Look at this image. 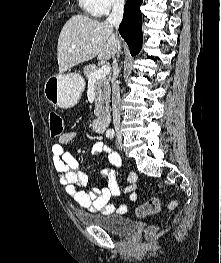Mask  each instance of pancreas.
Listing matches in <instances>:
<instances>
[{"instance_id": "cf45deb5", "label": "pancreas", "mask_w": 221, "mask_h": 263, "mask_svg": "<svg viewBox=\"0 0 221 263\" xmlns=\"http://www.w3.org/2000/svg\"><path fill=\"white\" fill-rule=\"evenodd\" d=\"M98 70L97 66L94 64L88 65L84 68V75L89 81V77L92 72ZM110 79L102 77L94 81V90H95V116L101 115L105 108H107L110 101Z\"/></svg>"}]
</instances>
